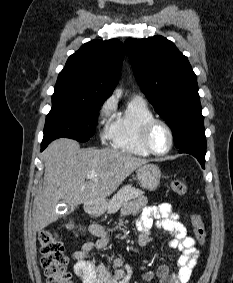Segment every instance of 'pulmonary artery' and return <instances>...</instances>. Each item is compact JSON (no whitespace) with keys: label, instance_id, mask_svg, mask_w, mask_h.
<instances>
[{"label":"pulmonary artery","instance_id":"pulmonary-artery-1","mask_svg":"<svg viewBox=\"0 0 233 283\" xmlns=\"http://www.w3.org/2000/svg\"><path fill=\"white\" fill-rule=\"evenodd\" d=\"M132 99L144 101V99H143V97H142L141 95H134V96L132 97Z\"/></svg>","mask_w":233,"mask_h":283}]
</instances>
